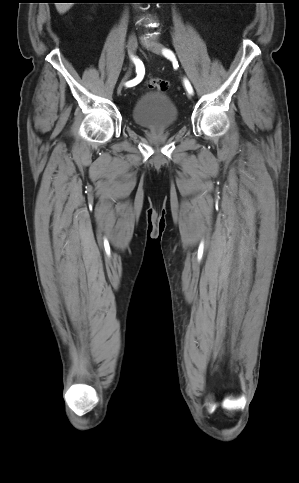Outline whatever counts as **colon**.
<instances>
[{"label":"colon","instance_id":"colon-1","mask_svg":"<svg viewBox=\"0 0 299 483\" xmlns=\"http://www.w3.org/2000/svg\"><path fill=\"white\" fill-rule=\"evenodd\" d=\"M147 85L150 88L156 89L158 91H163V92L169 88V83L166 80L155 78V77L148 79Z\"/></svg>","mask_w":299,"mask_h":483}]
</instances>
